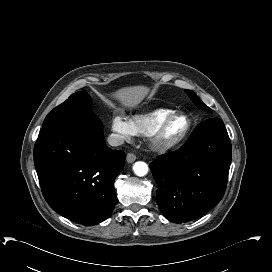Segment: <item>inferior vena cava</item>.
Returning a JSON list of instances; mask_svg holds the SVG:
<instances>
[{"mask_svg": "<svg viewBox=\"0 0 272 272\" xmlns=\"http://www.w3.org/2000/svg\"><path fill=\"white\" fill-rule=\"evenodd\" d=\"M107 141L110 146L116 147V146H120L124 143V138L118 134H111L108 136Z\"/></svg>", "mask_w": 272, "mask_h": 272, "instance_id": "inferior-vena-cava-1", "label": "inferior vena cava"}]
</instances>
